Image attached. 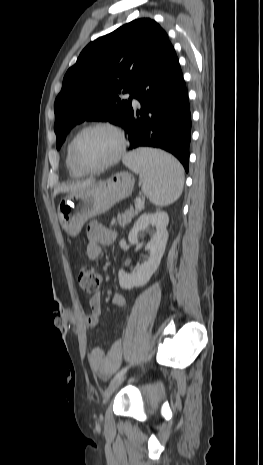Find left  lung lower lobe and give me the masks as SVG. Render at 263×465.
Segmentation results:
<instances>
[{
	"mask_svg": "<svg viewBox=\"0 0 263 465\" xmlns=\"http://www.w3.org/2000/svg\"><path fill=\"white\" fill-rule=\"evenodd\" d=\"M131 105L122 127L127 131L129 149L151 146L172 153L189 170L191 113L188 94L173 46L168 42L154 62L134 85Z\"/></svg>",
	"mask_w": 263,
	"mask_h": 465,
	"instance_id": "0a47b994",
	"label": "left lung lower lobe"
}]
</instances>
